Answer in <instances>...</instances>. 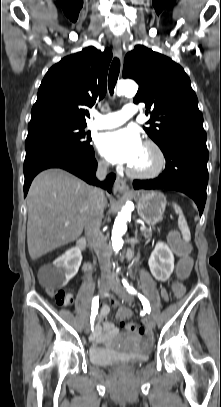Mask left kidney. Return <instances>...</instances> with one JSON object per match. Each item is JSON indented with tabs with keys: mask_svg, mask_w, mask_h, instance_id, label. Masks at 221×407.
<instances>
[{
	"mask_svg": "<svg viewBox=\"0 0 221 407\" xmlns=\"http://www.w3.org/2000/svg\"><path fill=\"white\" fill-rule=\"evenodd\" d=\"M148 264L153 277L165 282L174 270V256L165 243L158 242L151 253Z\"/></svg>",
	"mask_w": 221,
	"mask_h": 407,
	"instance_id": "1",
	"label": "left kidney"
}]
</instances>
